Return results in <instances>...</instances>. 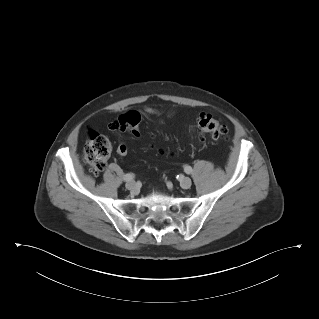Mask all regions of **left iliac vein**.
I'll return each instance as SVG.
<instances>
[{"label": "left iliac vein", "mask_w": 319, "mask_h": 319, "mask_svg": "<svg viewBox=\"0 0 319 319\" xmlns=\"http://www.w3.org/2000/svg\"><path fill=\"white\" fill-rule=\"evenodd\" d=\"M192 181L190 178L188 177H183L180 180V185L183 189H188L191 187Z\"/></svg>", "instance_id": "obj_1"}]
</instances>
